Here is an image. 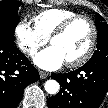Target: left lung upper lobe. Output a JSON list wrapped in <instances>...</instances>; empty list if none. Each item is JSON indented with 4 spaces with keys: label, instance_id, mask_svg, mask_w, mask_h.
Wrapping results in <instances>:
<instances>
[{
    "label": "left lung upper lobe",
    "instance_id": "5c2ea615",
    "mask_svg": "<svg viewBox=\"0 0 108 108\" xmlns=\"http://www.w3.org/2000/svg\"><path fill=\"white\" fill-rule=\"evenodd\" d=\"M95 25L98 30L97 50L90 60L96 58L108 59V24L101 15L97 14Z\"/></svg>",
    "mask_w": 108,
    "mask_h": 108
}]
</instances>
